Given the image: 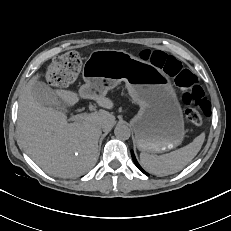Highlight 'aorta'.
I'll use <instances>...</instances> for the list:
<instances>
[{"instance_id": "obj_1", "label": "aorta", "mask_w": 231, "mask_h": 231, "mask_svg": "<svg viewBox=\"0 0 231 231\" xmlns=\"http://www.w3.org/2000/svg\"><path fill=\"white\" fill-rule=\"evenodd\" d=\"M114 134L120 140H127L131 135V131L128 126L119 124L115 127Z\"/></svg>"}]
</instances>
